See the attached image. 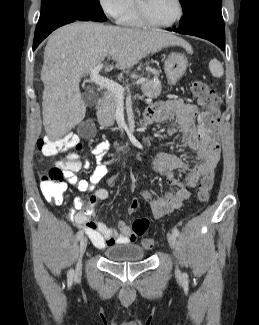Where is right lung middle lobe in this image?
I'll use <instances>...</instances> for the list:
<instances>
[{"label": "right lung middle lobe", "instance_id": "1", "mask_svg": "<svg viewBox=\"0 0 259 325\" xmlns=\"http://www.w3.org/2000/svg\"><path fill=\"white\" fill-rule=\"evenodd\" d=\"M60 16H74L81 20L105 21L99 0H41V14L36 31Z\"/></svg>", "mask_w": 259, "mask_h": 325}]
</instances>
